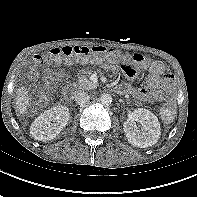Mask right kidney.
<instances>
[{"label": "right kidney", "instance_id": "obj_1", "mask_svg": "<svg viewBox=\"0 0 197 197\" xmlns=\"http://www.w3.org/2000/svg\"><path fill=\"white\" fill-rule=\"evenodd\" d=\"M70 118L69 109L57 105L45 110L30 127L32 137L38 141H51L63 130Z\"/></svg>", "mask_w": 197, "mask_h": 197}]
</instances>
